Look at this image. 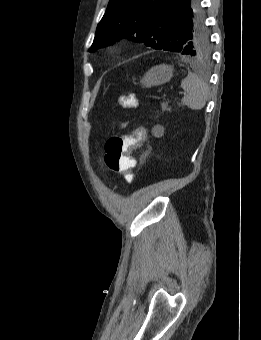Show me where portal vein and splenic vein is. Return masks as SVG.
I'll return each mask as SVG.
<instances>
[{
	"label": "portal vein and splenic vein",
	"mask_w": 261,
	"mask_h": 340,
	"mask_svg": "<svg viewBox=\"0 0 261 340\" xmlns=\"http://www.w3.org/2000/svg\"><path fill=\"white\" fill-rule=\"evenodd\" d=\"M179 95H185V92H179Z\"/></svg>",
	"instance_id": "portal-vein-and-splenic-vein-1"
}]
</instances>
